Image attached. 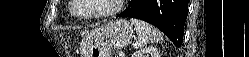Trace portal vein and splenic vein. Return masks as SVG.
Listing matches in <instances>:
<instances>
[{
	"instance_id": "portal-vein-and-splenic-vein-1",
	"label": "portal vein and splenic vein",
	"mask_w": 249,
	"mask_h": 57,
	"mask_svg": "<svg viewBox=\"0 0 249 57\" xmlns=\"http://www.w3.org/2000/svg\"><path fill=\"white\" fill-rule=\"evenodd\" d=\"M119 56H120V57H124L125 55H124V53H121V54H119Z\"/></svg>"
}]
</instances>
